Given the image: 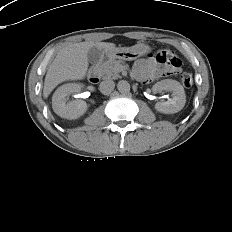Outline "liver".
<instances>
[{"label":"liver","instance_id":"obj_1","mask_svg":"<svg viewBox=\"0 0 232 232\" xmlns=\"http://www.w3.org/2000/svg\"><path fill=\"white\" fill-rule=\"evenodd\" d=\"M94 46L104 53L116 48L114 43L81 42L69 44L59 50L45 76L44 98H47L53 89L64 81L84 79L89 66L87 53Z\"/></svg>","mask_w":232,"mask_h":232}]
</instances>
